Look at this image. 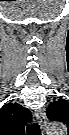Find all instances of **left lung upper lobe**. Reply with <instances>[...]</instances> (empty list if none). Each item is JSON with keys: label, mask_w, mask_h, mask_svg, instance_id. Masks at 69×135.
<instances>
[{"label": "left lung upper lobe", "mask_w": 69, "mask_h": 135, "mask_svg": "<svg viewBox=\"0 0 69 135\" xmlns=\"http://www.w3.org/2000/svg\"><path fill=\"white\" fill-rule=\"evenodd\" d=\"M46 114L51 121L67 123L69 120V103L64 99L55 101L49 105Z\"/></svg>", "instance_id": "5c2ea615"}]
</instances>
